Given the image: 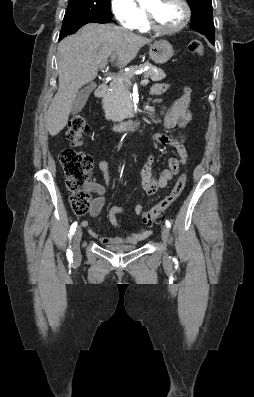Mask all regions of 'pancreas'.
<instances>
[{
  "mask_svg": "<svg viewBox=\"0 0 254 397\" xmlns=\"http://www.w3.org/2000/svg\"><path fill=\"white\" fill-rule=\"evenodd\" d=\"M148 63L139 66H131L129 71L119 75V79H115L110 83L109 91L102 100L105 117L114 122L121 121L129 114V106L131 105L130 80L138 69L148 66ZM145 78H150L152 81H161L166 77V74L161 70H156L154 67L144 73Z\"/></svg>",
  "mask_w": 254,
  "mask_h": 397,
  "instance_id": "pancreas-1",
  "label": "pancreas"
}]
</instances>
